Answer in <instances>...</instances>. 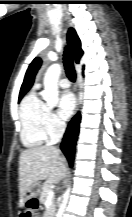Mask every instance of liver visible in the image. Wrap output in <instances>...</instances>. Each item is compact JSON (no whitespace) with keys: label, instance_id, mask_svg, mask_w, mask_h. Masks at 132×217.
<instances>
[{"label":"liver","instance_id":"liver-1","mask_svg":"<svg viewBox=\"0 0 132 217\" xmlns=\"http://www.w3.org/2000/svg\"><path fill=\"white\" fill-rule=\"evenodd\" d=\"M66 172V160L54 146H35L22 151L19 157L20 199L32 184L41 180L59 183Z\"/></svg>","mask_w":132,"mask_h":217}]
</instances>
